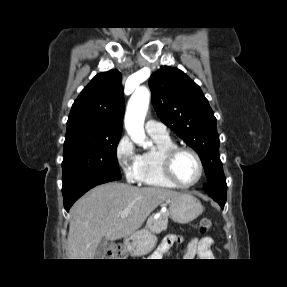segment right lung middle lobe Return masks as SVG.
<instances>
[{
  "label": "right lung middle lobe",
  "mask_w": 287,
  "mask_h": 287,
  "mask_svg": "<svg viewBox=\"0 0 287 287\" xmlns=\"http://www.w3.org/2000/svg\"><path fill=\"white\" fill-rule=\"evenodd\" d=\"M121 134H98L88 127L67 131L63 153V187L84 177L118 180L116 148Z\"/></svg>",
  "instance_id": "right-lung-middle-lobe-1"
}]
</instances>
